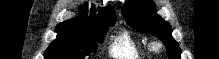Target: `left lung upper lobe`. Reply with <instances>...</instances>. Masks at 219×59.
<instances>
[{
	"label": "left lung upper lobe",
	"mask_w": 219,
	"mask_h": 59,
	"mask_svg": "<svg viewBox=\"0 0 219 59\" xmlns=\"http://www.w3.org/2000/svg\"><path fill=\"white\" fill-rule=\"evenodd\" d=\"M122 14L134 29L151 33L162 40L168 48L169 59H180L181 51L171 35V26L155 13L151 0H132L123 6Z\"/></svg>",
	"instance_id": "obj_1"
}]
</instances>
